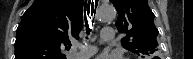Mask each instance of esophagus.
Wrapping results in <instances>:
<instances>
[{"instance_id":"esophagus-1","label":"esophagus","mask_w":193,"mask_h":59,"mask_svg":"<svg viewBox=\"0 0 193 59\" xmlns=\"http://www.w3.org/2000/svg\"><path fill=\"white\" fill-rule=\"evenodd\" d=\"M89 2H90V5L93 3L94 6H95V4H96V6H98V4H99V1H97V0H90V1H88V3Z\"/></svg>"}]
</instances>
